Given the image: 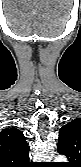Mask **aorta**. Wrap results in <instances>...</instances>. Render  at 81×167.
Here are the masks:
<instances>
[{
    "label": "aorta",
    "mask_w": 81,
    "mask_h": 167,
    "mask_svg": "<svg viewBox=\"0 0 81 167\" xmlns=\"http://www.w3.org/2000/svg\"><path fill=\"white\" fill-rule=\"evenodd\" d=\"M55 160H57V162H60V161H65L66 158L63 156H57Z\"/></svg>",
    "instance_id": "1"
}]
</instances>
